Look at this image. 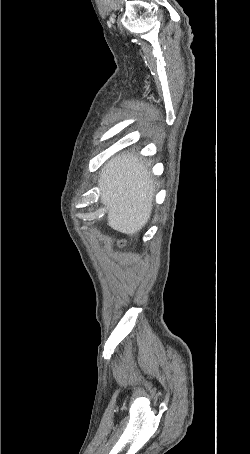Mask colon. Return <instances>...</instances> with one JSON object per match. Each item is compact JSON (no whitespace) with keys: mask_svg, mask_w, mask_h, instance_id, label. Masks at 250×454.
<instances>
[{"mask_svg":"<svg viewBox=\"0 0 250 454\" xmlns=\"http://www.w3.org/2000/svg\"><path fill=\"white\" fill-rule=\"evenodd\" d=\"M124 245V242H120V246H123Z\"/></svg>","mask_w":250,"mask_h":454,"instance_id":"1","label":"colon"}]
</instances>
